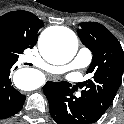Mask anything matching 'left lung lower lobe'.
Returning a JSON list of instances; mask_svg holds the SVG:
<instances>
[{"label":"left lung lower lobe","mask_w":124,"mask_h":124,"mask_svg":"<svg viewBox=\"0 0 124 124\" xmlns=\"http://www.w3.org/2000/svg\"><path fill=\"white\" fill-rule=\"evenodd\" d=\"M43 90L50 114L58 124H92L102 116L84 95L79 98L72 96L68 82H48Z\"/></svg>","instance_id":"1"}]
</instances>
